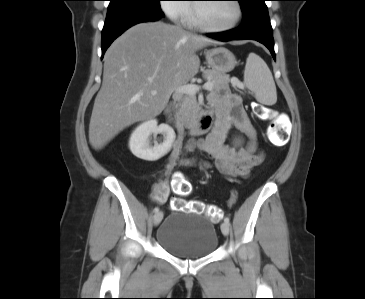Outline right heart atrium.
I'll return each mask as SVG.
<instances>
[{
  "label": "right heart atrium",
  "instance_id": "obj_1",
  "mask_svg": "<svg viewBox=\"0 0 365 299\" xmlns=\"http://www.w3.org/2000/svg\"><path fill=\"white\" fill-rule=\"evenodd\" d=\"M181 0H162L161 8L163 12L173 21H185L190 7Z\"/></svg>",
  "mask_w": 365,
  "mask_h": 299
}]
</instances>
